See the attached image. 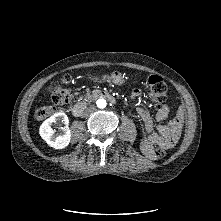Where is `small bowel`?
I'll return each mask as SVG.
<instances>
[{
  "instance_id": "c3829d8e",
  "label": "small bowel",
  "mask_w": 221,
  "mask_h": 221,
  "mask_svg": "<svg viewBox=\"0 0 221 221\" xmlns=\"http://www.w3.org/2000/svg\"><path fill=\"white\" fill-rule=\"evenodd\" d=\"M133 97L137 113L141 118L146 131V136L141 142L143 153L146 156L151 157L154 144H161L164 141L169 143L168 148L172 147L180 135L184 118L183 110L181 108L178 109L175 118L169 122H165L169 114V107L167 104H162L156 112L155 119L159 124L155 126L150 113L140 100V91L138 89L134 90Z\"/></svg>"
}]
</instances>
